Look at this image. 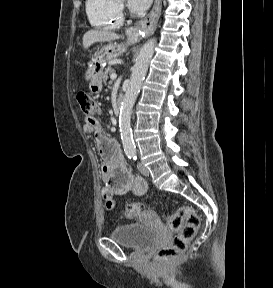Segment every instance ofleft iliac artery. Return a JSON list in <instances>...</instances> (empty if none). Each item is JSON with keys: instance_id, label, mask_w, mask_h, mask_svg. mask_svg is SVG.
Here are the masks:
<instances>
[{"instance_id": "1", "label": "left iliac artery", "mask_w": 273, "mask_h": 288, "mask_svg": "<svg viewBox=\"0 0 273 288\" xmlns=\"http://www.w3.org/2000/svg\"><path fill=\"white\" fill-rule=\"evenodd\" d=\"M133 159H134V160H136V159H137L136 155H133Z\"/></svg>"}]
</instances>
